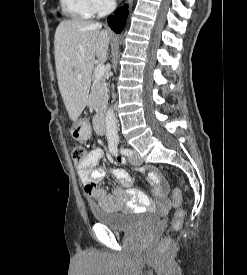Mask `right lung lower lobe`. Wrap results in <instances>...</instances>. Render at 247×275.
Returning <instances> with one entry per match:
<instances>
[{"instance_id":"right-lung-lower-lobe-1","label":"right lung lower lobe","mask_w":247,"mask_h":275,"mask_svg":"<svg viewBox=\"0 0 247 275\" xmlns=\"http://www.w3.org/2000/svg\"><path fill=\"white\" fill-rule=\"evenodd\" d=\"M127 13L128 6L125 5L124 7L118 8L114 12L115 15L108 17V24L114 32L120 33L122 31L126 23Z\"/></svg>"}]
</instances>
